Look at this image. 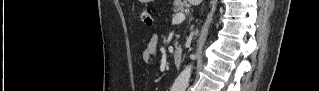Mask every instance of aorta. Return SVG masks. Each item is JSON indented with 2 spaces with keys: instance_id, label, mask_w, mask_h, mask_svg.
Returning a JSON list of instances; mask_svg holds the SVG:
<instances>
[{
  "instance_id": "1",
  "label": "aorta",
  "mask_w": 319,
  "mask_h": 91,
  "mask_svg": "<svg viewBox=\"0 0 319 91\" xmlns=\"http://www.w3.org/2000/svg\"><path fill=\"white\" fill-rule=\"evenodd\" d=\"M196 56H194V59ZM192 73V65H188L185 69L178 75L177 79L174 82L173 88L176 91H185L189 84V80Z\"/></svg>"
}]
</instances>
